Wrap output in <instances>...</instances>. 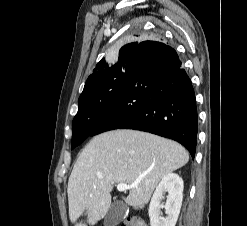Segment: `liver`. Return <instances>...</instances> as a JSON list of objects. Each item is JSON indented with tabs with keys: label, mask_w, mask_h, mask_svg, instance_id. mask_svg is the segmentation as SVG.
Here are the masks:
<instances>
[{
	"label": "liver",
	"mask_w": 247,
	"mask_h": 226,
	"mask_svg": "<svg viewBox=\"0 0 247 226\" xmlns=\"http://www.w3.org/2000/svg\"><path fill=\"white\" fill-rule=\"evenodd\" d=\"M187 150L179 143L141 131L118 129L95 136L80 153L69 177V217L75 226L86 211L91 226L109 211L114 184L136 186L124 201L143 209L158 182L184 166Z\"/></svg>",
	"instance_id": "1"
}]
</instances>
